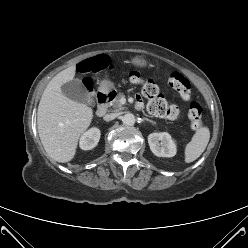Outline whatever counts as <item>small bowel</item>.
<instances>
[{
  "mask_svg": "<svg viewBox=\"0 0 248 248\" xmlns=\"http://www.w3.org/2000/svg\"><path fill=\"white\" fill-rule=\"evenodd\" d=\"M177 115H178V112L176 111V113L174 115H172L170 118L174 119L177 117Z\"/></svg>",
  "mask_w": 248,
  "mask_h": 248,
  "instance_id": "obj_1",
  "label": "small bowel"
}]
</instances>
